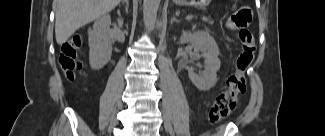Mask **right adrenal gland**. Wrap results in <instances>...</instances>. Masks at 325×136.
<instances>
[{"label": "right adrenal gland", "instance_id": "1", "mask_svg": "<svg viewBox=\"0 0 325 136\" xmlns=\"http://www.w3.org/2000/svg\"><path fill=\"white\" fill-rule=\"evenodd\" d=\"M126 3V7H125V10H126V13L128 14V6H129V0H122V4ZM121 6V5H119ZM120 15V13H119Z\"/></svg>", "mask_w": 325, "mask_h": 136}]
</instances>
